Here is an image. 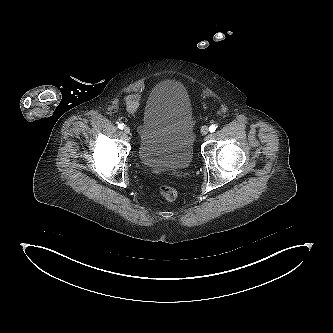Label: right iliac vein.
<instances>
[{
  "mask_svg": "<svg viewBox=\"0 0 333 333\" xmlns=\"http://www.w3.org/2000/svg\"><path fill=\"white\" fill-rule=\"evenodd\" d=\"M124 132H125L126 134H129V133H130V128H129L128 126H125V127H124Z\"/></svg>",
  "mask_w": 333,
  "mask_h": 333,
  "instance_id": "63e3f726",
  "label": "right iliac vein"
}]
</instances>
